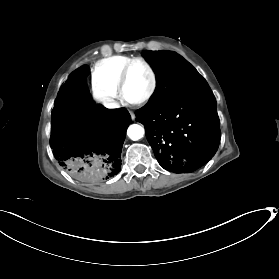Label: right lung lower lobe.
<instances>
[{
    "label": "right lung lower lobe",
    "instance_id": "right-lung-lower-lobe-1",
    "mask_svg": "<svg viewBox=\"0 0 279 279\" xmlns=\"http://www.w3.org/2000/svg\"><path fill=\"white\" fill-rule=\"evenodd\" d=\"M86 73L84 65L61 87L52 111L50 145L70 176L99 183L120 171L130 115L125 108L96 104L87 89Z\"/></svg>",
    "mask_w": 279,
    "mask_h": 279
}]
</instances>
